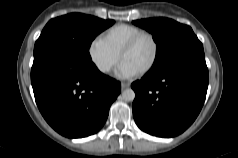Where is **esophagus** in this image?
<instances>
[{"label":"esophagus","mask_w":238,"mask_h":158,"mask_svg":"<svg viewBox=\"0 0 238 158\" xmlns=\"http://www.w3.org/2000/svg\"><path fill=\"white\" fill-rule=\"evenodd\" d=\"M129 86H130L129 83H122V84H121L122 89H126V88H128Z\"/></svg>","instance_id":"esophagus-1"}]
</instances>
